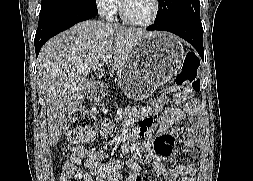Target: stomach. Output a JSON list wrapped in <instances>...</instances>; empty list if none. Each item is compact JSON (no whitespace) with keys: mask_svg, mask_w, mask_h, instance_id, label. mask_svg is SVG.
Instances as JSON below:
<instances>
[{"mask_svg":"<svg viewBox=\"0 0 253 181\" xmlns=\"http://www.w3.org/2000/svg\"><path fill=\"white\" fill-rule=\"evenodd\" d=\"M185 51L178 38L154 33L134 46L118 71L120 88L129 97L142 100L167 83L180 69Z\"/></svg>","mask_w":253,"mask_h":181,"instance_id":"stomach-1","label":"stomach"}]
</instances>
